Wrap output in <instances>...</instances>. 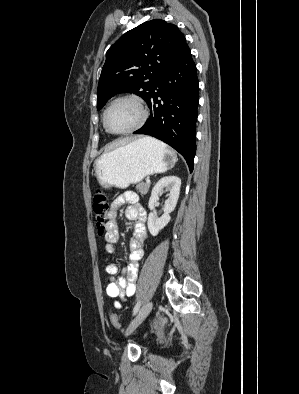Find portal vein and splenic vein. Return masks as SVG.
I'll return each instance as SVG.
<instances>
[{
  "mask_svg": "<svg viewBox=\"0 0 299 394\" xmlns=\"http://www.w3.org/2000/svg\"><path fill=\"white\" fill-rule=\"evenodd\" d=\"M150 182H151L150 179H146L147 184H150Z\"/></svg>",
  "mask_w": 299,
  "mask_h": 394,
  "instance_id": "1",
  "label": "portal vein and splenic vein"
}]
</instances>
